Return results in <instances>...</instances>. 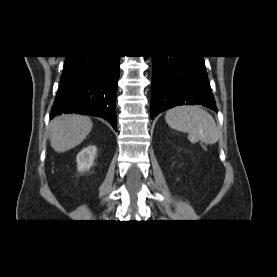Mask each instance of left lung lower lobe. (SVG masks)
I'll return each mask as SVG.
<instances>
[{"mask_svg": "<svg viewBox=\"0 0 277 277\" xmlns=\"http://www.w3.org/2000/svg\"><path fill=\"white\" fill-rule=\"evenodd\" d=\"M151 118L177 105L217 111L203 56H152Z\"/></svg>", "mask_w": 277, "mask_h": 277, "instance_id": "obj_1", "label": "left lung lower lobe"}]
</instances>
